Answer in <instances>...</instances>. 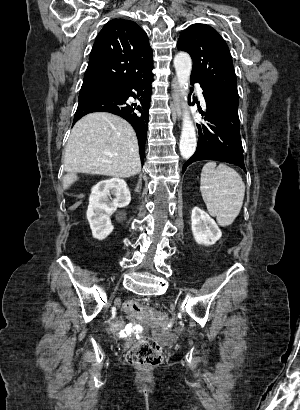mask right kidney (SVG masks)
Wrapping results in <instances>:
<instances>
[{
  "mask_svg": "<svg viewBox=\"0 0 300 410\" xmlns=\"http://www.w3.org/2000/svg\"><path fill=\"white\" fill-rule=\"evenodd\" d=\"M130 201V191L123 179L102 180L93 186L86 212L93 237L98 240L106 238L114 229L110 215L117 208L128 206Z\"/></svg>",
  "mask_w": 300,
  "mask_h": 410,
  "instance_id": "ca27d5eb",
  "label": "right kidney"
}]
</instances>
